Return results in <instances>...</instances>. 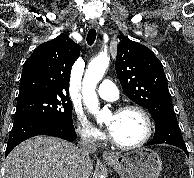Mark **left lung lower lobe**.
I'll return each instance as SVG.
<instances>
[{
    "mask_svg": "<svg viewBox=\"0 0 194 178\" xmlns=\"http://www.w3.org/2000/svg\"><path fill=\"white\" fill-rule=\"evenodd\" d=\"M155 128L153 139L146 145L169 144L179 147L188 155L176 116H166L157 119L155 121Z\"/></svg>",
    "mask_w": 194,
    "mask_h": 178,
    "instance_id": "left-lung-lower-lobe-1",
    "label": "left lung lower lobe"
}]
</instances>
